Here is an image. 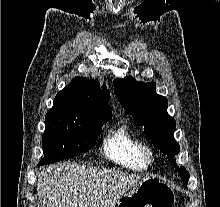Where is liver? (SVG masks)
Listing matches in <instances>:
<instances>
[{
    "mask_svg": "<svg viewBox=\"0 0 220 207\" xmlns=\"http://www.w3.org/2000/svg\"><path fill=\"white\" fill-rule=\"evenodd\" d=\"M141 179L115 169L59 164L38 174L37 193L44 207H113Z\"/></svg>",
    "mask_w": 220,
    "mask_h": 207,
    "instance_id": "liver-1",
    "label": "liver"
}]
</instances>
